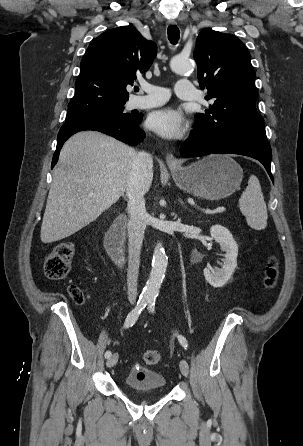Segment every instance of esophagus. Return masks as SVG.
Listing matches in <instances>:
<instances>
[{"instance_id":"esophagus-1","label":"esophagus","mask_w":303,"mask_h":446,"mask_svg":"<svg viewBox=\"0 0 303 446\" xmlns=\"http://www.w3.org/2000/svg\"><path fill=\"white\" fill-rule=\"evenodd\" d=\"M168 25H176V21L175 20H168ZM166 163L169 167H177L179 166V161L178 159L171 153H168L166 155Z\"/></svg>"}]
</instances>
